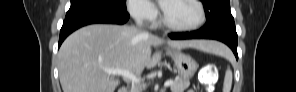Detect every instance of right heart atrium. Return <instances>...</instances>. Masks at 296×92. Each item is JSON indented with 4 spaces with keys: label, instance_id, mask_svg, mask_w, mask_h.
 Masks as SVG:
<instances>
[{
    "label": "right heart atrium",
    "instance_id": "d8ad5b80",
    "mask_svg": "<svg viewBox=\"0 0 296 92\" xmlns=\"http://www.w3.org/2000/svg\"><path fill=\"white\" fill-rule=\"evenodd\" d=\"M127 7L134 19L144 23H153L158 17V9L152 1L130 0Z\"/></svg>",
    "mask_w": 296,
    "mask_h": 92
}]
</instances>
